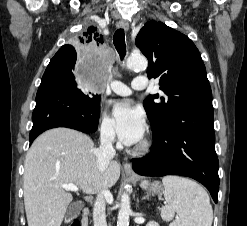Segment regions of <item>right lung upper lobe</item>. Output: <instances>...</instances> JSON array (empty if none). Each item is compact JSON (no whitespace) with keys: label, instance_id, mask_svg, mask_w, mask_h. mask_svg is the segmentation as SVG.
Returning <instances> with one entry per match:
<instances>
[{"label":"right lung upper lobe","instance_id":"cb5924a9","mask_svg":"<svg viewBox=\"0 0 247 226\" xmlns=\"http://www.w3.org/2000/svg\"><path fill=\"white\" fill-rule=\"evenodd\" d=\"M82 43L87 44L88 46H95L103 43V36L98 33L97 28L94 26L88 27V29L83 33L81 37H79ZM76 53L75 49L71 45L62 46L55 56L51 59L49 65L54 66L57 59L61 56H69L74 55Z\"/></svg>","mask_w":247,"mask_h":226}]
</instances>
